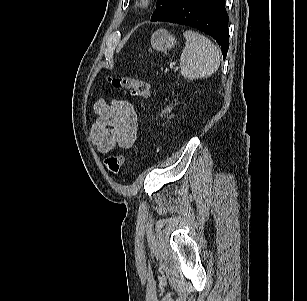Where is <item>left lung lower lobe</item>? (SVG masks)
<instances>
[{
    "mask_svg": "<svg viewBox=\"0 0 307 301\" xmlns=\"http://www.w3.org/2000/svg\"><path fill=\"white\" fill-rule=\"evenodd\" d=\"M228 20L225 0H179L157 21L188 25L212 36L225 59L229 48Z\"/></svg>",
    "mask_w": 307,
    "mask_h": 301,
    "instance_id": "0a47b994",
    "label": "left lung lower lobe"
}]
</instances>
